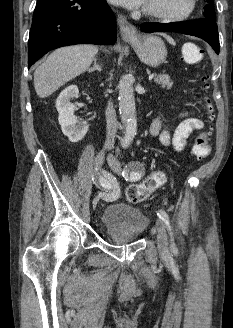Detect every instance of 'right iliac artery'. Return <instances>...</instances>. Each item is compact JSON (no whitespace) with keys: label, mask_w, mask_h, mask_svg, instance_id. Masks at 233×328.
Segmentation results:
<instances>
[{"label":"right iliac artery","mask_w":233,"mask_h":328,"mask_svg":"<svg viewBox=\"0 0 233 328\" xmlns=\"http://www.w3.org/2000/svg\"><path fill=\"white\" fill-rule=\"evenodd\" d=\"M100 185L103 188V192L99 193V197H102L105 201H114L120 196V188L117 181L107 173L103 174V177H100Z\"/></svg>","instance_id":"82829eb1"}]
</instances>
